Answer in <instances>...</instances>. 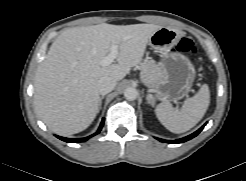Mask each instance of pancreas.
Here are the masks:
<instances>
[{"mask_svg": "<svg viewBox=\"0 0 246 181\" xmlns=\"http://www.w3.org/2000/svg\"><path fill=\"white\" fill-rule=\"evenodd\" d=\"M139 67L141 70V80L149 87L158 82L162 77L161 68L154 60L146 59L140 63Z\"/></svg>", "mask_w": 246, "mask_h": 181, "instance_id": "pancreas-1", "label": "pancreas"}]
</instances>
